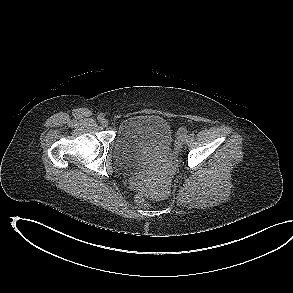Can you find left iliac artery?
I'll return each instance as SVG.
<instances>
[{"label":"left iliac artery","mask_w":293,"mask_h":293,"mask_svg":"<svg viewBox=\"0 0 293 293\" xmlns=\"http://www.w3.org/2000/svg\"><path fill=\"white\" fill-rule=\"evenodd\" d=\"M190 137H194V133L192 132V133H190Z\"/></svg>","instance_id":"left-iliac-artery-1"}]
</instances>
